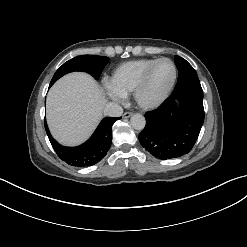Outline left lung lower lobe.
Here are the masks:
<instances>
[{"mask_svg": "<svg viewBox=\"0 0 247 247\" xmlns=\"http://www.w3.org/2000/svg\"><path fill=\"white\" fill-rule=\"evenodd\" d=\"M145 118L146 126L138 138L147 151L162 160L187 154L194 146L204 122L201 85L175 87L171 97L157 109L147 112Z\"/></svg>", "mask_w": 247, "mask_h": 247, "instance_id": "left-lung-lower-lobe-1", "label": "left lung lower lobe"}]
</instances>
